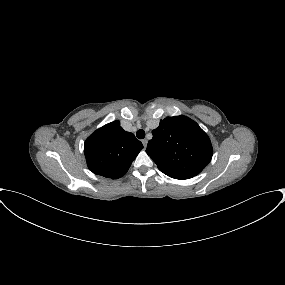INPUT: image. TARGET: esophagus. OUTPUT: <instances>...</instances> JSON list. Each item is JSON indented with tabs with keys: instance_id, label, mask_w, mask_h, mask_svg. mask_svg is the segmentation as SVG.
I'll list each match as a JSON object with an SVG mask.
<instances>
[{
	"instance_id": "1",
	"label": "esophagus",
	"mask_w": 285,
	"mask_h": 285,
	"mask_svg": "<svg viewBox=\"0 0 285 285\" xmlns=\"http://www.w3.org/2000/svg\"><path fill=\"white\" fill-rule=\"evenodd\" d=\"M142 143H143L144 148H146L147 147V143H148L147 139H143Z\"/></svg>"
}]
</instances>
